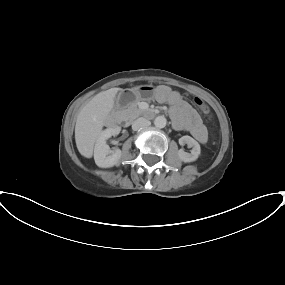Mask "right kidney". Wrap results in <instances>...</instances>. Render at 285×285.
<instances>
[{
  "instance_id": "obj_1",
  "label": "right kidney",
  "mask_w": 285,
  "mask_h": 285,
  "mask_svg": "<svg viewBox=\"0 0 285 285\" xmlns=\"http://www.w3.org/2000/svg\"><path fill=\"white\" fill-rule=\"evenodd\" d=\"M120 128H107L101 132L94 148V160L98 167L109 168L120 162L122 152L120 149L110 150L106 140L111 136L118 135Z\"/></svg>"
}]
</instances>
